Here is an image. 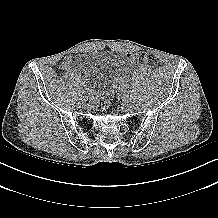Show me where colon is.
Wrapping results in <instances>:
<instances>
[{"label":"colon","instance_id":"obj_1","mask_svg":"<svg viewBox=\"0 0 218 218\" xmlns=\"http://www.w3.org/2000/svg\"><path fill=\"white\" fill-rule=\"evenodd\" d=\"M128 63L131 65L146 66L149 68L156 67L158 64L157 57L152 53H133L128 56ZM111 103V93L105 92L98 96L95 100L96 107L104 111L109 108Z\"/></svg>","mask_w":218,"mask_h":218}]
</instances>
